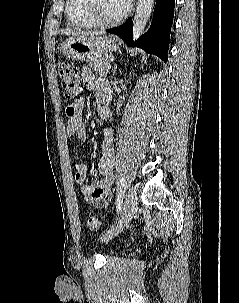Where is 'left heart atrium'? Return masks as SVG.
Wrapping results in <instances>:
<instances>
[{
  "mask_svg": "<svg viewBox=\"0 0 239 303\" xmlns=\"http://www.w3.org/2000/svg\"><path fill=\"white\" fill-rule=\"evenodd\" d=\"M123 6L128 9L131 5L132 0H121Z\"/></svg>",
  "mask_w": 239,
  "mask_h": 303,
  "instance_id": "left-heart-atrium-1",
  "label": "left heart atrium"
}]
</instances>
